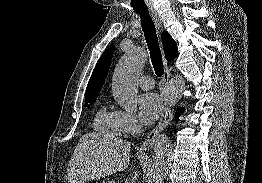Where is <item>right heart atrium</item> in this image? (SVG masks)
Masks as SVG:
<instances>
[{
    "instance_id": "1",
    "label": "right heart atrium",
    "mask_w": 262,
    "mask_h": 183,
    "mask_svg": "<svg viewBox=\"0 0 262 183\" xmlns=\"http://www.w3.org/2000/svg\"><path fill=\"white\" fill-rule=\"evenodd\" d=\"M119 121L123 129L124 134L134 135L139 131V123L137 118L129 112L117 111Z\"/></svg>"
}]
</instances>
